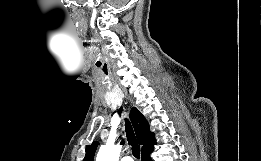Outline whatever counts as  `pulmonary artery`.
<instances>
[{
    "mask_svg": "<svg viewBox=\"0 0 261 161\" xmlns=\"http://www.w3.org/2000/svg\"><path fill=\"white\" fill-rule=\"evenodd\" d=\"M121 161H133L131 157L125 156L121 159Z\"/></svg>",
    "mask_w": 261,
    "mask_h": 161,
    "instance_id": "obj_1",
    "label": "pulmonary artery"
}]
</instances>
